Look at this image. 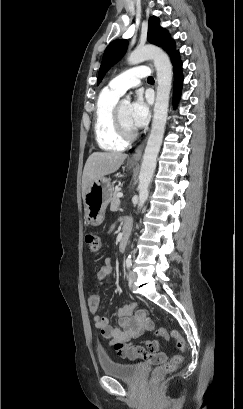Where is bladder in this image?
<instances>
[{
  "mask_svg": "<svg viewBox=\"0 0 243 409\" xmlns=\"http://www.w3.org/2000/svg\"><path fill=\"white\" fill-rule=\"evenodd\" d=\"M99 364L103 373L120 380L134 381L141 372L140 364L121 363L103 358L99 359Z\"/></svg>",
  "mask_w": 243,
  "mask_h": 409,
  "instance_id": "obj_1",
  "label": "bladder"
}]
</instances>
